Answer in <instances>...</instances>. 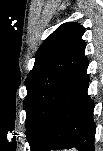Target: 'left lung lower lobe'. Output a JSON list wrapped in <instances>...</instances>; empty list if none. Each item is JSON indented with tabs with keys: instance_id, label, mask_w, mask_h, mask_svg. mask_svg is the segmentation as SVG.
I'll list each match as a JSON object with an SVG mask.
<instances>
[{
	"instance_id": "0a47b994",
	"label": "left lung lower lobe",
	"mask_w": 103,
	"mask_h": 151,
	"mask_svg": "<svg viewBox=\"0 0 103 151\" xmlns=\"http://www.w3.org/2000/svg\"><path fill=\"white\" fill-rule=\"evenodd\" d=\"M85 42L54 58L32 81L26 106V135L33 151L75 147L94 151L96 125Z\"/></svg>"
}]
</instances>
